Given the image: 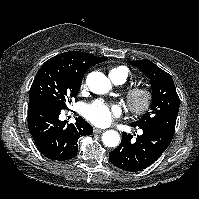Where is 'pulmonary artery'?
Segmentation results:
<instances>
[{"label": "pulmonary artery", "mask_w": 199, "mask_h": 199, "mask_svg": "<svg viewBox=\"0 0 199 199\" xmlns=\"http://www.w3.org/2000/svg\"><path fill=\"white\" fill-rule=\"evenodd\" d=\"M115 84L120 85L119 82H118V83H115Z\"/></svg>", "instance_id": "e3ab8cb5"}]
</instances>
